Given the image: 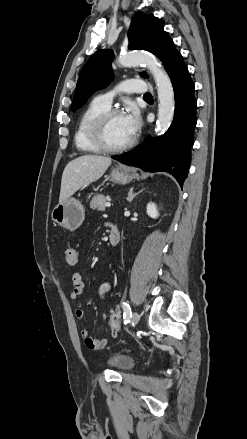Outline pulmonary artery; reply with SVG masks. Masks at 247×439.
Instances as JSON below:
<instances>
[{"label":"pulmonary artery","instance_id":"pulmonary-artery-1","mask_svg":"<svg viewBox=\"0 0 247 439\" xmlns=\"http://www.w3.org/2000/svg\"><path fill=\"white\" fill-rule=\"evenodd\" d=\"M147 90V84L143 80L130 78L124 80L117 89L99 95L96 100H98L103 105L110 107L112 104V100L117 92L146 93Z\"/></svg>","mask_w":247,"mask_h":439}]
</instances>
